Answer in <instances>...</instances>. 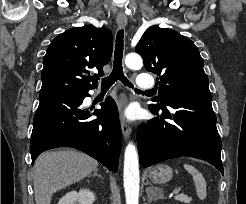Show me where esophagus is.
<instances>
[{
  "label": "esophagus",
  "instance_id": "1",
  "mask_svg": "<svg viewBox=\"0 0 246 204\" xmlns=\"http://www.w3.org/2000/svg\"><path fill=\"white\" fill-rule=\"evenodd\" d=\"M117 24L120 28H123L127 25V17L125 15L119 14L116 18ZM121 130L123 133V136L127 139L132 132V128L130 126V124L123 118L121 117Z\"/></svg>",
  "mask_w": 246,
  "mask_h": 204
}]
</instances>
